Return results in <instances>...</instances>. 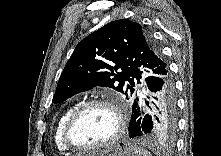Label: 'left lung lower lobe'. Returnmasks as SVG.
I'll return each mask as SVG.
<instances>
[{
	"label": "left lung lower lobe",
	"instance_id": "left-lung-lower-lobe-1",
	"mask_svg": "<svg viewBox=\"0 0 221 156\" xmlns=\"http://www.w3.org/2000/svg\"><path fill=\"white\" fill-rule=\"evenodd\" d=\"M143 83L142 96L132 105L129 136L173 137L177 124L176 94L168 66L148 73Z\"/></svg>",
	"mask_w": 221,
	"mask_h": 156
}]
</instances>
